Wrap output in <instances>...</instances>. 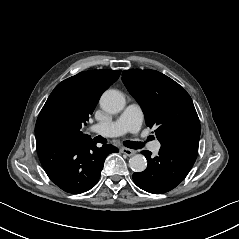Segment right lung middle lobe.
I'll use <instances>...</instances> for the list:
<instances>
[{
    "label": "right lung middle lobe",
    "mask_w": 239,
    "mask_h": 239,
    "mask_svg": "<svg viewBox=\"0 0 239 239\" xmlns=\"http://www.w3.org/2000/svg\"><path fill=\"white\" fill-rule=\"evenodd\" d=\"M53 123L57 129H64L73 125L74 121L63 116H57L54 118Z\"/></svg>",
    "instance_id": "1"
}]
</instances>
